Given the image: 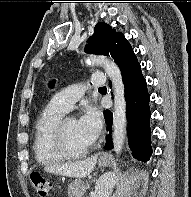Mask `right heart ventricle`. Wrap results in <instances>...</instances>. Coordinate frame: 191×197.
<instances>
[{"instance_id":"obj_1","label":"right heart ventricle","mask_w":191,"mask_h":197,"mask_svg":"<svg viewBox=\"0 0 191 197\" xmlns=\"http://www.w3.org/2000/svg\"><path fill=\"white\" fill-rule=\"evenodd\" d=\"M65 113L50 101L36 120L33 151L37 162L41 165H55L65 160L53 143L54 128Z\"/></svg>"}]
</instances>
